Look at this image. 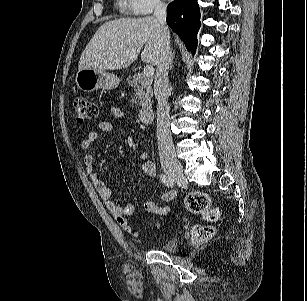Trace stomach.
Segmentation results:
<instances>
[{"label": "stomach", "mask_w": 307, "mask_h": 301, "mask_svg": "<svg viewBox=\"0 0 307 301\" xmlns=\"http://www.w3.org/2000/svg\"><path fill=\"white\" fill-rule=\"evenodd\" d=\"M76 86L84 92H92L97 89H114L118 87L120 79L105 69H82L76 73Z\"/></svg>", "instance_id": "stomach-1"}]
</instances>
